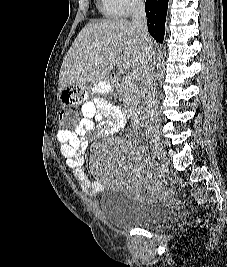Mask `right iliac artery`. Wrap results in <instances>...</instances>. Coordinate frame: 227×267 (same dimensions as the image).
I'll use <instances>...</instances> for the list:
<instances>
[{
	"label": "right iliac artery",
	"mask_w": 227,
	"mask_h": 267,
	"mask_svg": "<svg viewBox=\"0 0 227 267\" xmlns=\"http://www.w3.org/2000/svg\"><path fill=\"white\" fill-rule=\"evenodd\" d=\"M150 157H151V159H152L153 161H155L156 153L151 152V153H150Z\"/></svg>",
	"instance_id": "1"
}]
</instances>
